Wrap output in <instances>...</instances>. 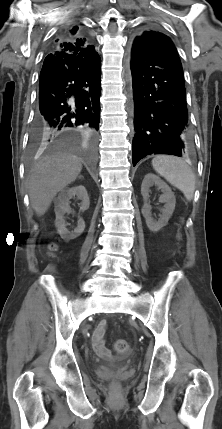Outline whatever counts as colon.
Masks as SVG:
<instances>
[{"label": "colon", "mask_w": 222, "mask_h": 429, "mask_svg": "<svg viewBox=\"0 0 222 429\" xmlns=\"http://www.w3.org/2000/svg\"><path fill=\"white\" fill-rule=\"evenodd\" d=\"M54 249H55V246L52 245L51 250H54ZM113 346L117 352H121V353L128 352L130 350L129 342L124 339L116 340Z\"/></svg>", "instance_id": "obj_1"}]
</instances>
